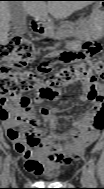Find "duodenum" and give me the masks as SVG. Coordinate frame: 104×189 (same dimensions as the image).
Segmentation results:
<instances>
[{
  "label": "duodenum",
  "instance_id": "duodenum-1",
  "mask_svg": "<svg viewBox=\"0 0 104 189\" xmlns=\"http://www.w3.org/2000/svg\"><path fill=\"white\" fill-rule=\"evenodd\" d=\"M50 25V20L42 18L36 19L32 21V29L35 33L39 35H44L48 32V28Z\"/></svg>",
  "mask_w": 104,
  "mask_h": 189
}]
</instances>
